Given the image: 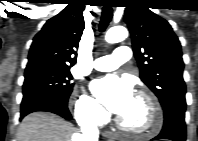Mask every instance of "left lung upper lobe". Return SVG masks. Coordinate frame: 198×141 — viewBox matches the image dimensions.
Masks as SVG:
<instances>
[{"label":"left lung upper lobe","instance_id":"left-lung-upper-lobe-1","mask_svg":"<svg viewBox=\"0 0 198 141\" xmlns=\"http://www.w3.org/2000/svg\"><path fill=\"white\" fill-rule=\"evenodd\" d=\"M145 0H133L125 11L140 78L158 97L163 110L185 102L181 44L170 24L149 10ZM145 55V56H144Z\"/></svg>","mask_w":198,"mask_h":141}]
</instances>
